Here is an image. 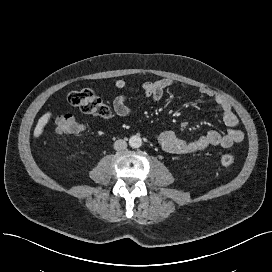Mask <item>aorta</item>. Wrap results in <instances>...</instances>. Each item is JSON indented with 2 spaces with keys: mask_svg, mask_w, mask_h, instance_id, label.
Here are the masks:
<instances>
[{
  "mask_svg": "<svg viewBox=\"0 0 272 272\" xmlns=\"http://www.w3.org/2000/svg\"><path fill=\"white\" fill-rule=\"evenodd\" d=\"M129 145L132 148H139L142 145V139L138 135H133L129 138Z\"/></svg>",
  "mask_w": 272,
  "mask_h": 272,
  "instance_id": "762f6f07",
  "label": "aorta"
}]
</instances>
